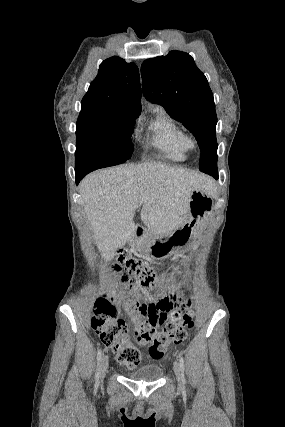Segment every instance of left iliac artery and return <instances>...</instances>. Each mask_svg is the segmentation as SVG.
Here are the masks:
<instances>
[{"instance_id": "left-iliac-artery-1", "label": "left iliac artery", "mask_w": 285, "mask_h": 427, "mask_svg": "<svg viewBox=\"0 0 285 427\" xmlns=\"http://www.w3.org/2000/svg\"><path fill=\"white\" fill-rule=\"evenodd\" d=\"M179 362H180V368H181V382H182V385H185L186 379H185V376H184V359L182 357V353H180Z\"/></svg>"}]
</instances>
